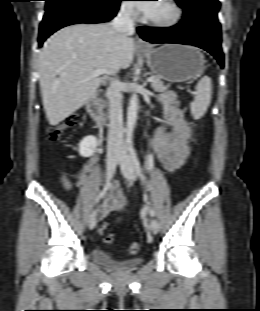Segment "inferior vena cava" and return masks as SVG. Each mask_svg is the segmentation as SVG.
Returning <instances> with one entry per match:
<instances>
[{
    "mask_svg": "<svg viewBox=\"0 0 260 311\" xmlns=\"http://www.w3.org/2000/svg\"><path fill=\"white\" fill-rule=\"evenodd\" d=\"M131 8H121L117 16L113 19L112 27L122 35L134 33V20ZM109 100V131H108V151H120L123 143V111L121 83L113 79L107 91Z\"/></svg>",
    "mask_w": 260,
    "mask_h": 311,
    "instance_id": "1",
    "label": "inferior vena cava"
}]
</instances>
